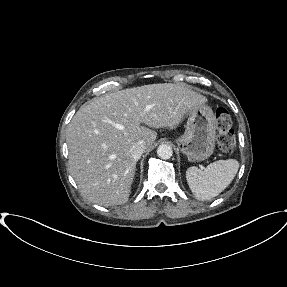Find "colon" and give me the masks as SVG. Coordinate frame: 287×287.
Returning <instances> with one entry per match:
<instances>
[{"mask_svg":"<svg viewBox=\"0 0 287 287\" xmlns=\"http://www.w3.org/2000/svg\"><path fill=\"white\" fill-rule=\"evenodd\" d=\"M216 124L219 148L225 153L231 152L235 146V135L232 118L226 109L219 108L216 111Z\"/></svg>","mask_w":287,"mask_h":287,"instance_id":"1","label":"colon"}]
</instances>
